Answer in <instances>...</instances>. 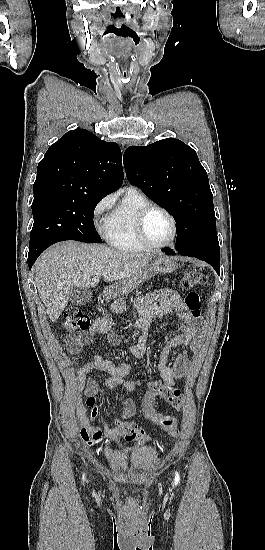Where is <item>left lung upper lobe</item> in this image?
<instances>
[{"label":"left lung upper lobe","instance_id":"left-lung-upper-lobe-1","mask_svg":"<svg viewBox=\"0 0 265 550\" xmlns=\"http://www.w3.org/2000/svg\"><path fill=\"white\" fill-rule=\"evenodd\" d=\"M123 162L129 182L174 217L179 252L210 251L220 257L208 176L191 147L167 138L128 147Z\"/></svg>","mask_w":265,"mask_h":550}]
</instances>
